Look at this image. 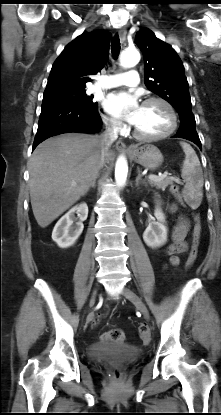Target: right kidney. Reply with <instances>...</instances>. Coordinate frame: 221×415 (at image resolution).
Returning a JSON list of instances; mask_svg holds the SVG:
<instances>
[{
	"label": "right kidney",
	"instance_id": "1",
	"mask_svg": "<svg viewBox=\"0 0 221 415\" xmlns=\"http://www.w3.org/2000/svg\"><path fill=\"white\" fill-rule=\"evenodd\" d=\"M75 213L79 218V222H77L76 225H73ZM87 216L88 206L86 203H82L70 209L56 223L52 232L53 241L61 248L72 246L81 235L84 228L83 221L87 219Z\"/></svg>",
	"mask_w": 221,
	"mask_h": 415
}]
</instances>
